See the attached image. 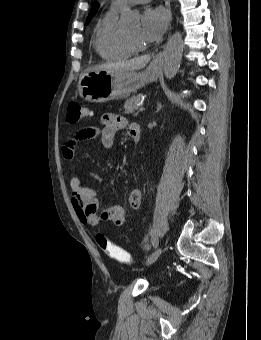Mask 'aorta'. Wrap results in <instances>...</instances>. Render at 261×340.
I'll return each instance as SVG.
<instances>
[{"label": "aorta", "instance_id": "aorta-1", "mask_svg": "<svg viewBox=\"0 0 261 340\" xmlns=\"http://www.w3.org/2000/svg\"><path fill=\"white\" fill-rule=\"evenodd\" d=\"M121 18L125 25L136 23L139 19L138 14L128 8ZM183 49L182 34L177 31L170 37L165 48L163 71L167 79H172L177 74L181 64Z\"/></svg>", "mask_w": 261, "mask_h": 340}]
</instances>
